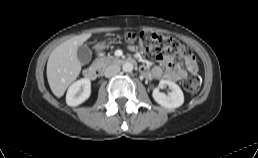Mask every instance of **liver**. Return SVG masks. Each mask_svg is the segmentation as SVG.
<instances>
[{
    "mask_svg": "<svg viewBox=\"0 0 258 158\" xmlns=\"http://www.w3.org/2000/svg\"><path fill=\"white\" fill-rule=\"evenodd\" d=\"M90 37L91 33L75 36L51 52L47 62V79L56 97H62L68 86L79 76L81 63L77 57V50Z\"/></svg>",
    "mask_w": 258,
    "mask_h": 158,
    "instance_id": "6515ba94",
    "label": "liver"
}]
</instances>
